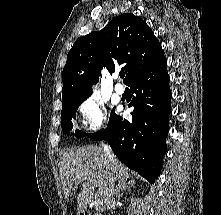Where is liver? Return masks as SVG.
Instances as JSON below:
<instances>
[{
  "label": "liver",
  "mask_w": 221,
  "mask_h": 215,
  "mask_svg": "<svg viewBox=\"0 0 221 215\" xmlns=\"http://www.w3.org/2000/svg\"><path fill=\"white\" fill-rule=\"evenodd\" d=\"M59 172L66 200L73 185L82 184L77 197V213L85 210L94 196V186L104 199L112 179L121 183L128 179V169L118 159L110 162L104 151L97 146L88 145L67 150L59 163ZM75 188V187H74Z\"/></svg>",
  "instance_id": "1"
}]
</instances>
